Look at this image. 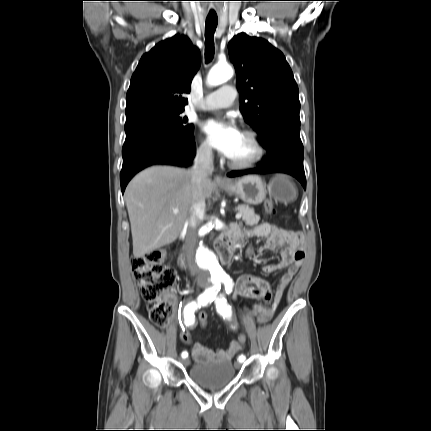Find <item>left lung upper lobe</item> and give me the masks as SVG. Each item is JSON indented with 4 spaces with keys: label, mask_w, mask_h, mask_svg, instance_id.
Returning <instances> with one entry per match:
<instances>
[{
    "label": "left lung upper lobe",
    "mask_w": 431,
    "mask_h": 431,
    "mask_svg": "<svg viewBox=\"0 0 431 431\" xmlns=\"http://www.w3.org/2000/svg\"><path fill=\"white\" fill-rule=\"evenodd\" d=\"M237 73L240 111L271 149L281 141L302 145L299 90L281 51L262 38L238 34L228 44Z\"/></svg>",
    "instance_id": "obj_1"
}]
</instances>
